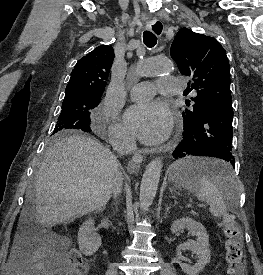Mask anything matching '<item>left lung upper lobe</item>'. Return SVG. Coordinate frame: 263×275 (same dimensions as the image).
<instances>
[{"instance_id":"1","label":"left lung upper lobe","mask_w":263,"mask_h":275,"mask_svg":"<svg viewBox=\"0 0 263 275\" xmlns=\"http://www.w3.org/2000/svg\"><path fill=\"white\" fill-rule=\"evenodd\" d=\"M171 57L197 90L193 111H183L184 125L194 124L201 115L222 100H231L230 67L226 51L214 38L182 28L171 46Z\"/></svg>"}]
</instances>
